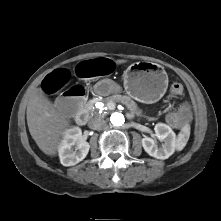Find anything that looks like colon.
Listing matches in <instances>:
<instances>
[{
  "label": "colon",
  "mask_w": 221,
  "mask_h": 221,
  "mask_svg": "<svg viewBox=\"0 0 221 221\" xmlns=\"http://www.w3.org/2000/svg\"><path fill=\"white\" fill-rule=\"evenodd\" d=\"M113 70V63L108 59L84 62L78 67V73L84 77L108 74ZM70 73L67 70H56L50 73L43 81V90L48 93H56L61 90L69 81ZM171 93L181 95L184 91L182 84L173 83ZM86 97L85 88L82 85H71L63 92L56 106L59 116L68 118L83 106ZM194 106L191 103H182L178 110L168 114L167 120L174 127H182L193 121Z\"/></svg>",
  "instance_id": "1"
}]
</instances>
